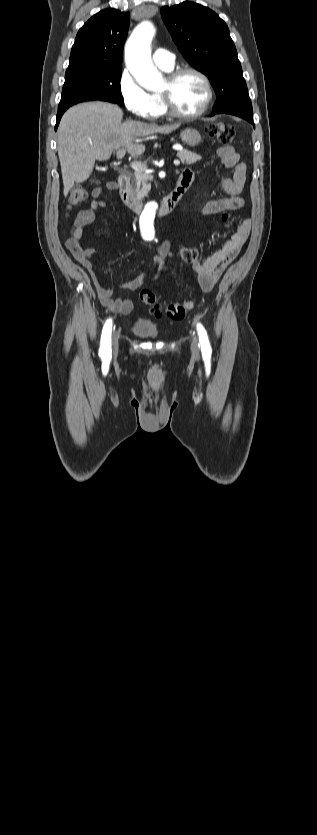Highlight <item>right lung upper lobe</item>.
Listing matches in <instances>:
<instances>
[{
	"instance_id": "obj_1",
	"label": "right lung upper lobe",
	"mask_w": 317,
	"mask_h": 835,
	"mask_svg": "<svg viewBox=\"0 0 317 835\" xmlns=\"http://www.w3.org/2000/svg\"><path fill=\"white\" fill-rule=\"evenodd\" d=\"M129 27V13L105 9L91 17L77 33L69 67L121 66Z\"/></svg>"
}]
</instances>
